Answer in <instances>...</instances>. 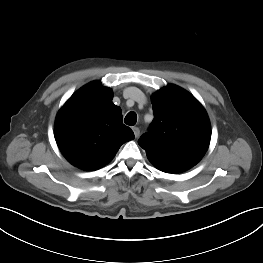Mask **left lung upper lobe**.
<instances>
[{"label":"left lung upper lobe","instance_id":"obj_1","mask_svg":"<svg viewBox=\"0 0 263 263\" xmlns=\"http://www.w3.org/2000/svg\"><path fill=\"white\" fill-rule=\"evenodd\" d=\"M154 120L139 139L148 158L186 166L196 165L211 137L208 115L186 90L168 85L152 95Z\"/></svg>","mask_w":263,"mask_h":263}]
</instances>
